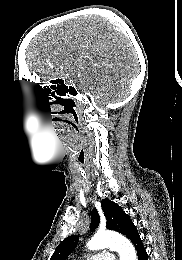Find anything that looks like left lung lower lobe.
<instances>
[{
  "mask_svg": "<svg viewBox=\"0 0 182 260\" xmlns=\"http://www.w3.org/2000/svg\"><path fill=\"white\" fill-rule=\"evenodd\" d=\"M126 237L133 243V245L137 251L138 260H147L148 255L143 246V243H142L140 235L137 231V228L133 227L132 230L128 233V235Z\"/></svg>",
  "mask_w": 182,
  "mask_h": 260,
  "instance_id": "obj_1",
  "label": "left lung lower lobe"
}]
</instances>
